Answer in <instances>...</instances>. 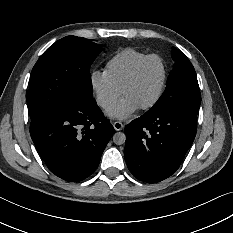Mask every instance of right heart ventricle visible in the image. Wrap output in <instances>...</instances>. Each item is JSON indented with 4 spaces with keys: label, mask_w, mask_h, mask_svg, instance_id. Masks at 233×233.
Listing matches in <instances>:
<instances>
[{
    "label": "right heart ventricle",
    "mask_w": 233,
    "mask_h": 233,
    "mask_svg": "<svg viewBox=\"0 0 233 233\" xmlns=\"http://www.w3.org/2000/svg\"><path fill=\"white\" fill-rule=\"evenodd\" d=\"M147 55L133 48H125L107 60L104 73L121 90L124 81Z\"/></svg>",
    "instance_id": "1"
}]
</instances>
